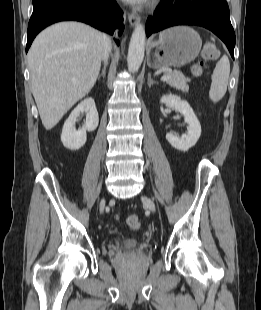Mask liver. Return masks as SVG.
Instances as JSON below:
<instances>
[{
	"instance_id": "obj_1",
	"label": "liver",
	"mask_w": 261,
	"mask_h": 310,
	"mask_svg": "<svg viewBox=\"0 0 261 310\" xmlns=\"http://www.w3.org/2000/svg\"><path fill=\"white\" fill-rule=\"evenodd\" d=\"M103 45L102 32L74 21L54 24L35 38L28 67L46 130L91 91L100 72Z\"/></svg>"
}]
</instances>
